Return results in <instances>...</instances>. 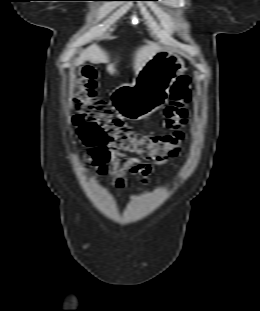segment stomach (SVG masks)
<instances>
[{"label":"stomach","instance_id":"obj_1","mask_svg":"<svg viewBox=\"0 0 260 311\" xmlns=\"http://www.w3.org/2000/svg\"><path fill=\"white\" fill-rule=\"evenodd\" d=\"M186 70L176 53L160 50L139 71L132 84H122L111 93V104L123 118L138 121L160 109L168 100L176 78Z\"/></svg>","mask_w":260,"mask_h":311}]
</instances>
